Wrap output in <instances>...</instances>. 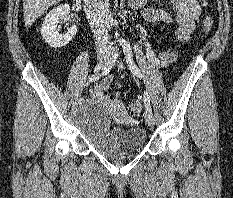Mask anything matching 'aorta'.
I'll return each instance as SVG.
<instances>
[{
	"label": "aorta",
	"mask_w": 233,
	"mask_h": 198,
	"mask_svg": "<svg viewBox=\"0 0 233 198\" xmlns=\"http://www.w3.org/2000/svg\"><path fill=\"white\" fill-rule=\"evenodd\" d=\"M102 3V13L104 15V17L107 20L111 19V13H110V4H109V0H101Z\"/></svg>",
	"instance_id": "762f6f07"
}]
</instances>
